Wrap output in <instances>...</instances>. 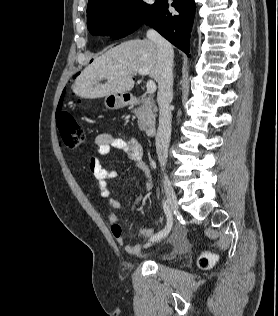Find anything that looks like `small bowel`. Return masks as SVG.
<instances>
[{
    "label": "small bowel",
    "mask_w": 278,
    "mask_h": 316,
    "mask_svg": "<svg viewBox=\"0 0 278 316\" xmlns=\"http://www.w3.org/2000/svg\"><path fill=\"white\" fill-rule=\"evenodd\" d=\"M95 143L97 146V153L102 156L109 155L113 149L123 151L124 155L130 161L136 163V168L144 174V186L147 191L152 188V176L150 168L143 162V149L141 144L136 139H125L122 137L114 136L111 133L99 134ZM89 168L95 177L101 196L106 199L108 205L119 210L121 208V203L113 196V190L109 186V181L116 178L117 173L106 166H103L97 157L92 156L89 159ZM119 215L116 212H112L108 216V221L111 226V233L114 236L116 242L123 246L125 251L129 254H137L140 250L138 245L126 244L122 227L119 225ZM140 236L144 238H149L154 236V230L152 228H140L138 229ZM176 240L182 242V233L180 228L176 229L175 232Z\"/></svg>",
    "instance_id": "small-bowel-1"
}]
</instances>
